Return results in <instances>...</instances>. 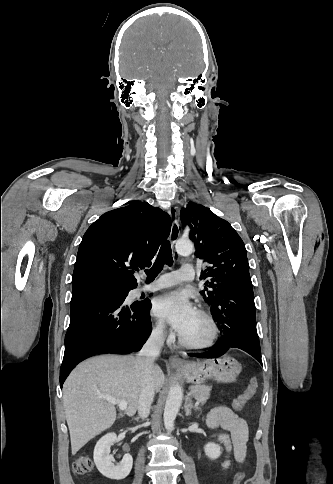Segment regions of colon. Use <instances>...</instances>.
Instances as JSON below:
<instances>
[{
  "label": "colon",
  "instance_id": "obj_1",
  "mask_svg": "<svg viewBox=\"0 0 333 484\" xmlns=\"http://www.w3.org/2000/svg\"><path fill=\"white\" fill-rule=\"evenodd\" d=\"M257 391V381L252 378L247 388L238 395L232 402V408L234 410H242L244 406L254 397ZM93 469V462L88 456H80L73 463V471L76 475L83 476L89 474ZM244 472H238L233 484H240L244 478Z\"/></svg>",
  "mask_w": 333,
  "mask_h": 484
}]
</instances>
